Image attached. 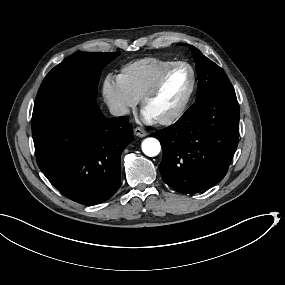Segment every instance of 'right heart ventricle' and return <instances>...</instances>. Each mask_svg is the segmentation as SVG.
I'll return each mask as SVG.
<instances>
[{"mask_svg":"<svg viewBox=\"0 0 285 285\" xmlns=\"http://www.w3.org/2000/svg\"><path fill=\"white\" fill-rule=\"evenodd\" d=\"M170 67V62L157 58L148 57L140 59L131 66L132 75L125 88L134 97L139 99Z\"/></svg>","mask_w":285,"mask_h":285,"instance_id":"e07e8e85","label":"right heart ventricle"}]
</instances>
